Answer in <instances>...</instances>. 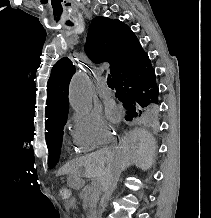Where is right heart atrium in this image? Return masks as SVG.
I'll list each match as a JSON object with an SVG mask.
<instances>
[{"label":"right heart atrium","mask_w":211,"mask_h":218,"mask_svg":"<svg viewBox=\"0 0 211 218\" xmlns=\"http://www.w3.org/2000/svg\"><path fill=\"white\" fill-rule=\"evenodd\" d=\"M73 139L84 149L97 148L111 138V132L97 111L76 113L72 116Z\"/></svg>","instance_id":"1"}]
</instances>
